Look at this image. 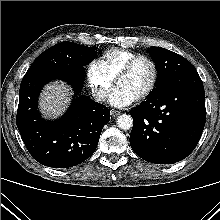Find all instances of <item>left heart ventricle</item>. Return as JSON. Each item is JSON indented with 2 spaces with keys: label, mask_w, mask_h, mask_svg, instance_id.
I'll list each match as a JSON object with an SVG mask.
<instances>
[{
  "label": "left heart ventricle",
  "mask_w": 220,
  "mask_h": 220,
  "mask_svg": "<svg viewBox=\"0 0 220 220\" xmlns=\"http://www.w3.org/2000/svg\"><path fill=\"white\" fill-rule=\"evenodd\" d=\"M152 78V68L145 61H139L134 68L121 77L117 84L131 92L136 98L147 88Z\"/></svg>",
  "instance_id": "obj_1"
}]
</instances>
